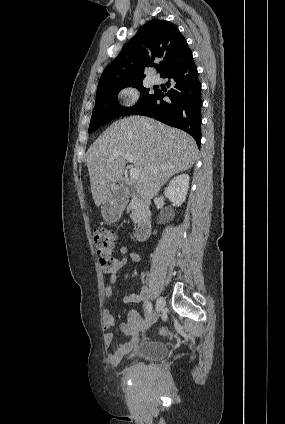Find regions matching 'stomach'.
Here are the masks:
<instances>
[{
    "mask_svg": "<svg viewBox=\"0 0 285 424\" xmlns=\"http://www.w3.org/2000/svg\"><path fill=\"white\" fill-rule=\"evenodd\" d=\"M124 207V198L115 191H112L101 206L103 219L108 223L115 222L120 217Z\"/></svg>",
    "mask_w": 285,
    "mask_h": 424,
    "instance_id": "obj_1",
    "label": "stomach"
}]
</instances>
